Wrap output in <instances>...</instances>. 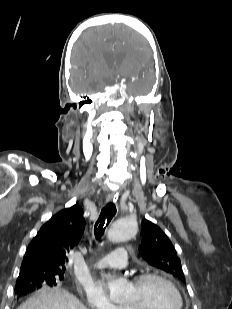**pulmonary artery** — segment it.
I'll return each instance as SVG.
<instances>
[{"mask_svg": "<svg viewBox=\"0 0 232 309\" xmlns=\"http://www.w3.org/2000/svg\"><path fill=\"white\" fill-rule=\"evenodd\" d=\"M127 259L128 251L124 248H119L114 253L92 263L91 266L96 269L123 268L127 264Z\"/></svg>", "mask_w": 232, "mask_h": 309, "instance_id": "obj_1", "label": "pulmonary artery"}]
</instances>
